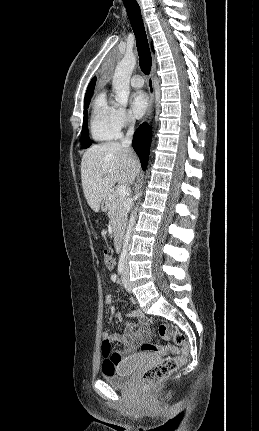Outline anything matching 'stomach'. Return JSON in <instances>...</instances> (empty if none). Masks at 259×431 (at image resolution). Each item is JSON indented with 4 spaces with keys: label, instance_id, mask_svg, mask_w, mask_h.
Instances as JSON below:
<instances>
[{
    "label": "stomach",
    "instance_id": "0dacf381",
    "mask_svg": "<svg viewBox=\"0 0 259 431\" xmlns=\"http://www.w3.org/2000/svg\"><path fill=\"white\" fill-rule=\"evenodd\" d=\"M107 206H108V202H105L104 204L101 205V209L106 210Z\"/></svg>",
    "mask_w": 259,
    "mask_h": 431
}]
</instances>
